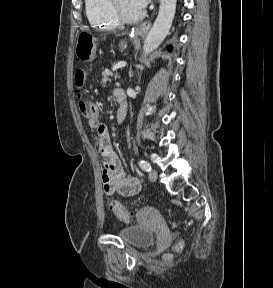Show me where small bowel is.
I'll list each match as a JSON object with an SVG mask.
<instances>
[{
    "instance_id": "obj_1",
    "label": "small bowel",
    "mask_w": 273,
    "mask_h": 288,
    "mask_svg": "<svg viewBox=\"0 0 273 288\" xmlns=\"http://www.w3.org/2000/svg\"><path fill=\"white\" fill-rule=\"evenodd\" d=\"M88 125L98 138L99 151L103 159L102 184L105 193L108 195L118 193L125 197L138 194L141 189L140 182L121 169L119 159L110 144L107 126L97 120L89 121Z\"/></svg>"
}]
</instances>
